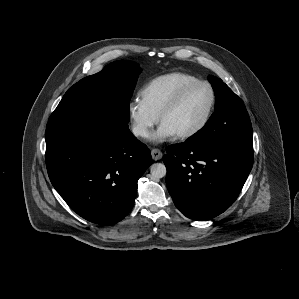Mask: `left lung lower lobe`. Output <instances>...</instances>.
<instances>
[{
    "mask_svg": "<svg viewBox=\"0 0 299 299\" xmlns=\"http://www.w3.org/2000/svg\"><path fill=\"white\" fill-rule=\"evenodd\" d=\"M166 185L175 206L193 220H208L237 199L253 165V145H204L191 141L166 148Z\"/></svg>",
    "mask_w": 299,
    "mask_h": 299,
    "instance_id": "obj_1",
    "label": "left lung lower lobe"
}]
</instances>
